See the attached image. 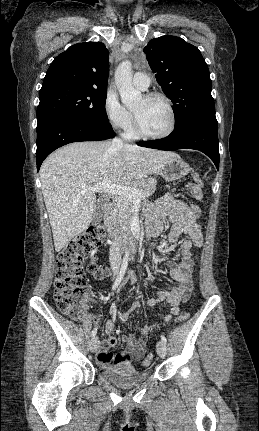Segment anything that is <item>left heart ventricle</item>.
<instances>
[{"mask_svg":"<svg viewBox=\"0 0 259 431\" xmlns=\"http://www.w3.org/2000/svg\"><path fill=\"white\" fill-rule=\"evenodd\" d=\"M142 129L150 134L164 132L170 122L169 111L161 99L146 100L142 97L133 108Z\"/></svg>","mask_w":259,"mask_h":431,"instance_id":"b2bd125f","label":"left heart ventricle"}]
</instances>
